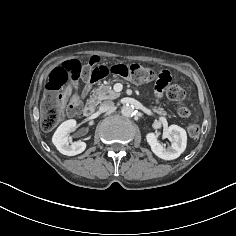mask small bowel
<instances>
[{"label": "small bowel", "mask_w": 236, "mask_h": 236, "mask_svg": "<svg viewBox=\"0 0 236 236\" xmlns=\"http://www.w3.org/2000/svg\"><path fill=\"white\" fill-rule=\"evenodd\" d=\"M91 88V84H87L83 90V94H86ZM157 96L160 97L161 94L159 92H157Z\"/></svg>", "instance_id": "c3829d8e"}]
</instances>
